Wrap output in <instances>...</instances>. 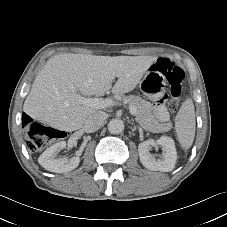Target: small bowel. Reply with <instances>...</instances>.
<instances>
[{"mask_svg":"<svg viewBox=\"0 0 227 227\" xmlns=\"http://www.w3.org/2000/svg\"><path fill=\"white\" fill-rule=\"evenodd\" d=\"M153 112L155 117L159 121H166L168 119V112L166 110V107L162 103H156L153 106Z\"/></svg>","mask_w":227,"mask_h":227,"instance_id":"1","label":"small bowel"}]
</instances>
